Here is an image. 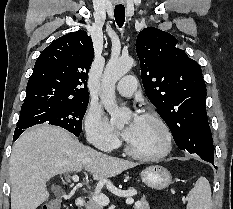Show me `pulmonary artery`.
Returning a JSON list of instances; mask_svg holds the SVG:
<instances>
[{
    "label": "pulmonary artery",
    "instance_id": "1",
    "mask_svg": "<svg viewBox=\"0 0 233 209\" xmlns=\"http://www.w3.org/2000/svg\"><path fill=\"white\" fill-rule=\"evenodd\" d=\"M137 88V80L134 76H124L117 84L116 90L122 96H132Z\"/></svg>",
    "mask_w": 233,
    "mask_h": 209
}]
</instances>
